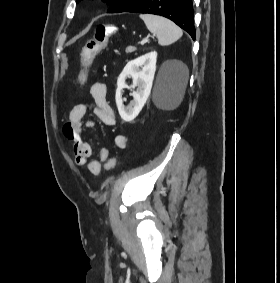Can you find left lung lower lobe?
Segmentation results:
<instances>
[{
	"label": "left lung lower lobe",
	"mask_w": 280,
	"mask_h": 283,
	"mask_svg": "<svg viewBox=\"0 0 280 283\" xmlns=\"http://www.w3.org/2000/svg\"><path fill=\"white\" fill-rule=\"evenodd\" d=\"M126 12L150 13L169 18L195 40L192 0H140Z\"/></svg>",
	"instance_id": "1"
}]
</instances>
